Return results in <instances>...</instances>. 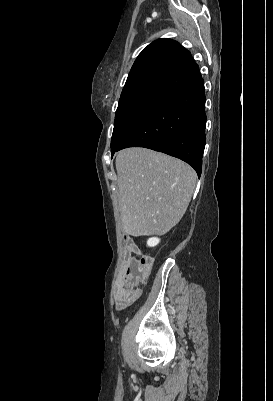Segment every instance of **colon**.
Instances as JSON below:
<instances>
[{
  "label": "colon",
  "mask_w": 273,
  "mask_h": 401,
  "mask_svg": "<svg viewBox=\"0 0 273 401\" xmlns=\"http://www.w3.org/2000/svg\"><path fill=\"white\" fill-rule=\"evenodd\" d=\"M127 256L131 255L130 251L126 252ZM152 259L151 257H126L124 267L119 270L122 278H118V287L115 288V297H139L142 294L141 285L137 282H147L148 276L151 274Z\"/></svg>",
  "instance_id": "colon-1"
}]
</instances>
